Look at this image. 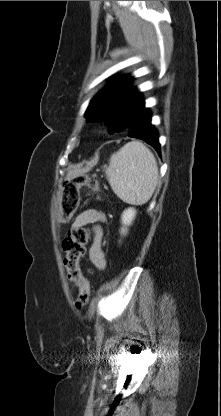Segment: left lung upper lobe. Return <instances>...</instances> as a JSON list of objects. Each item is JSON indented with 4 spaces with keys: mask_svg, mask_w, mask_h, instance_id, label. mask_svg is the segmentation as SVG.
Masks as SVG:
<instances>
[{
    "mask_svg": "<svg viewBox=\"0 0 221 416\" xmlns=\"http://www.w3.org/2000/svg\"><path fill=\"white\" fill-rule=\"evenodd\" d=\"M133 78L128 76L111 81L97 93L86 110L88 121H104L111 129L128 132L131 119L143 102L140 92L130 87Z\"/></svg>",
    "mask_w": 221,
    "mask_h": 416,
    "instance_id": "5c2ea615",
    "label": "left lung upper lobe"
}]
</instances>
